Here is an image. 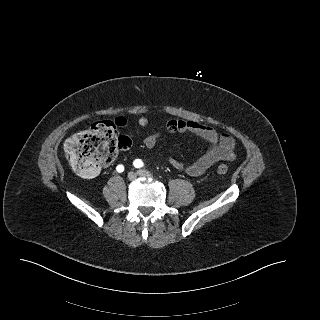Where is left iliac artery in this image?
Masks as SVG:
<instances>
[{
    "mask_svg": "<svg viewBox=\"0 0 320 320\" xmlns=\"http://www.w3.org/2000/svg\"><path fill=\"white\" fill-rule=\"evenodd\" d=\"M133 165L136 167V168H140L144 165L143 161L140 160V159H136L134 162H133Z\"/></svg>",
    "mask_w": 320,
    "mask_h": 320,
    "instance_id": "obj_1",
    "label": "left iliac artery"
}]
</instances>
